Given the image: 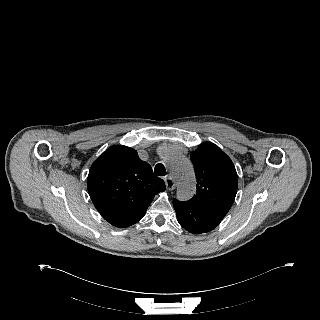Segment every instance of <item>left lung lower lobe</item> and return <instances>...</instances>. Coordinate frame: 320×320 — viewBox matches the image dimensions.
Segmentation results:
<instances>
[{
    "label": "left lung lower lobe",
    "instance_id": "1",
    "mask_svg": "<svg viewBox=\"0 0 320 320\" xmlns=\"http://www.w3.org/2000/svg\"><path fill=\"white\" fill-rule=\"evenodd\" d=\"M179 224L187 231L200 234L213 230L227 213L189 201L173 200Z\"/></svg>",
    "mask_w": 320,
    "mask_h": 320
}]
</instances>
